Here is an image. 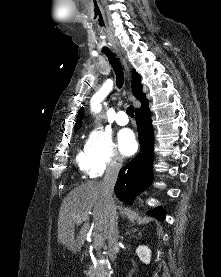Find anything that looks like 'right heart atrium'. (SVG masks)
Instances as JSON below:
<instances>
[{"label":"right heart atrium","instance_id":"d8ad5b80","mask_svg":"<svg viewBox=\"0 0 221 277\" xmlns=\"http://www.w3.org/2000/svg\"><path fill=\"white\" fill-rule=\"evenodd\" d=\"M84 151L88 173L92 177L117 171L122 166L110 133L100 126L94 127L89 133Z\"/></svg>","mask_w":221,"mask_h":277}]
</instances>
